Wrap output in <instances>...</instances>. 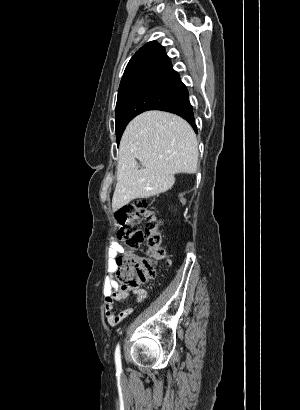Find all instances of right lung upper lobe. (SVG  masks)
<instances>
[{
    "label": "right lung upper lobe",
    "mask_w": 300,
    "mask_h": 410,
    "mask_svg": "<svg viewBox=\"0 0 300 410\" xmlns=\"http://www.w3.org/2000/svg\"><path fill=\"white\" fill-rule=\"evenodd\" d=\"M157 82L181 81L178 73L173 70L165 49L156 41H151L130 59L121 79L119 91L138 83Z\"/></svg>",
    "instance_id": "right-lung-upper-lobe-1"
}]
</instances>
